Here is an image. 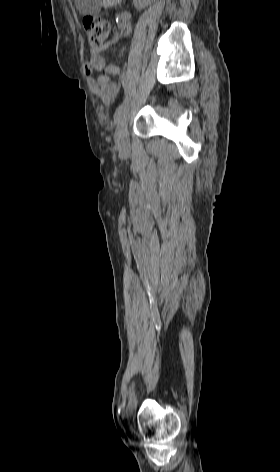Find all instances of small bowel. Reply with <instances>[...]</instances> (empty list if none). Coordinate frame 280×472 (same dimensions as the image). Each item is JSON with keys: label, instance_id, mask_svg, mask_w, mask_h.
Wrapping results in <instances>:
<instances>
[{"label": "small bowel", "instance_id": "obj_1", "mask_svg": "<svg viewBox=\"0 0 280 472\" xmlns=\"http://www.w3.org/2000/svg\"><path fill=\"white\" fill-rule=\"evenodd\" d=\"M120 35V31L116 32L110 42L99 49L91 50L89 60L83 66V70L87 75L88 86L95 95L101 108L104 105L111 104L117 96L118 84L111 79V76L119 75L120 69L115 64L106 63L105 59L101 56L100 51L105 50L111 44L116 43L120 38ZM95 71H103L104 73L97 77H93L92 75Z\"/></svg>", "mask_w": 280, "mask_h": 472}]
</instances>
